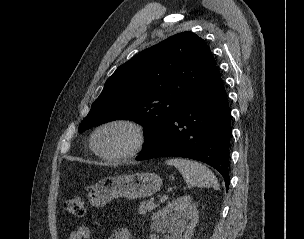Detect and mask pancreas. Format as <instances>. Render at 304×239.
<instances>
[{"label": "pancreas", "mask_w": 304, "mask_h": 239, "mask_svg": "<svg viewBox=\"0 0 304 239\" xmlns=\"http://www.w3.org/2000/svg\"><path fill=\"white\" fill-rule=\"evenodd\" d=\"M156 208V204L152 201L142 202L139 204L138 213L140 215H146L148 212H152Z\"/></svg>", "instance_id": "obj_1"}]
</instances>
